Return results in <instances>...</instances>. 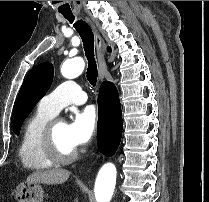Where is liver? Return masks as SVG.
<instances>
[{"mask_svg":"<svg viewBox=\"0 0 209 202\" xmlns=\"http://www.w3.org/2000/svg\"><path fill=\"white\" fill-rule=\"evenodd\" d=\"M69 176L70 172L65 169H51L32 173L27 177L26 182L56 185L66 182Z\"/></svg>","mask_w":209,"mask_h":202,"instance_id":"6515ba94","label":"liver"}]
</instances>
